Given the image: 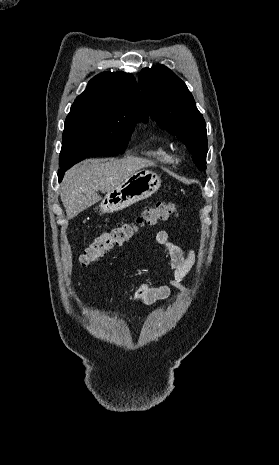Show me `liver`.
<instances>
[{
	"label": "liver",
	"mask_w": 279,
	"mask_h": 465,
	"mask_svg": "<svg viewBox=\"0 0 279 465\" xmlns=\"http://www.w3.org/2000/svg\"><path fill=\"white\" fill-rule=\"evenodd\" d=\"M153 165L149 160L128 156L122 159H89L73 166L65 173L60 187L67 218L73 219L99 202L98 191L109 193L137 171Z\"/></svg>",
	"instance_id": "1"
}]
</instances>
